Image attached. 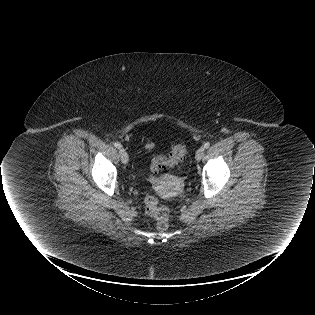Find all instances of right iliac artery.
Segmentation results:
<instances>
[{
	"mask_svg": "<svg viewBox=\"0 0 315 315\" xmlns=\"http://www.w3.org/2000/svg\"><path fill=\"white\" fill-rule=\"evenodd\" d=\"M114 146H115L116 148H118V149H121V148H122V145H121L120 143H118V142H115V143H114Z\"/></svg>",
	"mask_w": 315,
	"mask_h": 315,
	"instance_id": "82829eb1",
	"label": "right iliac artery"
}]
</instances>
